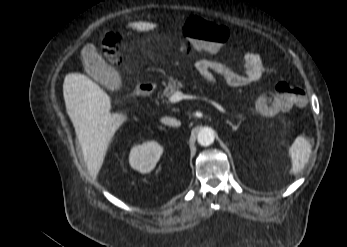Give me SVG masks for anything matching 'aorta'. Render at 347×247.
I'll use <instances>...</instances> for the list:
<instances>
[{
    "mask_svg": "<svg viewBox=\"0 0 347 247\" xmlns=\"http://www.w3.org/2000/svg\"><path fill=\"white\" fill-rule=\"evenodd\" d=\"M215 134L211 128L204 127L198 133V143L202 146H209L214 142Z\"/></svg>",
    "mask_w": 347,
    "mask_h": 247,
    "instance_id": "762f6f07",
    "label": "aorta"
}]
</instances>
